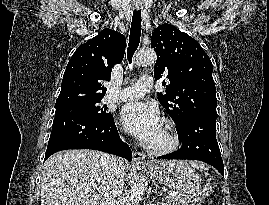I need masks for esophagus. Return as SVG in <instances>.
<instances>
[{"mask_svg": "<svg viewBox=\"0 0 269 205\" xmlns=\"http://www.w3.org/2000/svg\"><path fill=\"white\" fill-rule=\"evenodd\" d=\"M137 9H138V7H137ZM144 160H145V154L144 153H142L140 151H135L133 153V163L134 164H146L144 162Z\"/></svg>", "mask_w": 269, "mask_h": 205, "instance_id": "obj_1", "label": "esophagus"}]
</instances>
